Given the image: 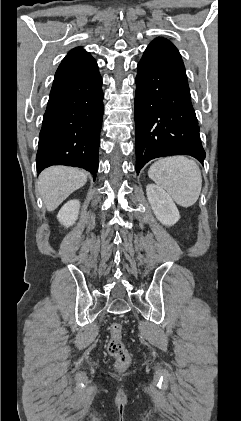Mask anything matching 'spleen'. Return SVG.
Listing matches in <instances>:
<instances>
[{
	"label": "spleen",
	"instance_id": "spleen-1",
	"mask_svg": "<svg viewBox=\"0 0 241 421\" xmlns=\"http://www.w3.org/2000/svg\"><path fill=\"white\" fill-rule=\"evenodd\" d=\"M148 175L159 187L165 189L180 206L187 208L198 200L202 176L194 160L185 156H172L154 162Z\"/></svg>",
	"mask_w": 241,
	"mask_h": 421
}]
</instances>
